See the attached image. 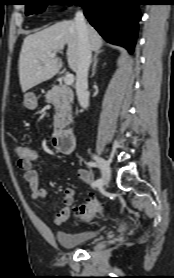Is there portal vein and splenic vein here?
Masks as SVG:
<instances>
[{
  "label": "portal vein and splenic vein",
  "mask_w": 174,
  "mask_h": 278,
  "mask_svg": "<svg viewBox=\"0 0 174 278\" xmlns=\"http://www.w3.org/2000/svg\"><path fill=\"white\" fill-rule=\"evenodd\" d=\"M55 53H52L50 56L55 57ZM74 82V75L73 74H67L64 78L65 85H71Z\"/></svg>",
  "instance_id": "18ae733b"
}]
</instances>
